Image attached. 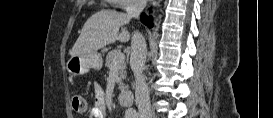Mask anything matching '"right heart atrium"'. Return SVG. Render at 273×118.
I'll return each mask as SVG.
<instances>
[{"label": "right heart atrium", "instance_id": "d8ad5b80", "mask_svg": "<svg viewBox=\"0 0 273 118\" xmlns=\"http://www.w3.org/2000/svg\"><path fill=\"white\" fill-rule=\"evenodd\" d=\"M114 2L122 9H129L136 6L135 0H114Z\"/></svg>", "mask_w": 273, "mask_h": 118}]
</instances>
